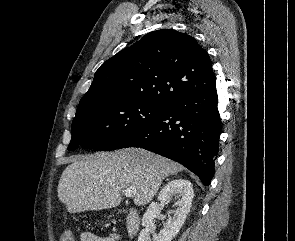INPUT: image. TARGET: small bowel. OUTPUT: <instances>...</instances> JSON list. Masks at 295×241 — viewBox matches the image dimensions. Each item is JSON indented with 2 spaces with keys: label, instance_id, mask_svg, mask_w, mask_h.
<instances>
[{
  "label": "small bowel",
  "instance_id": "small-bowel-1",
  "mask_svg": "<svg viewBox=\"0 0 295 241\" xmlns=\"http://www.w3.org/2000/svg\"><path fill=\"white\" fill-rule=\"evenodd\" d=\"M81 241H116L113 236L101 237L90 232H84L81 235Z\"/></svg>",
  "mask_w": 295,
  "mask_h": 241
}]
</instances>
